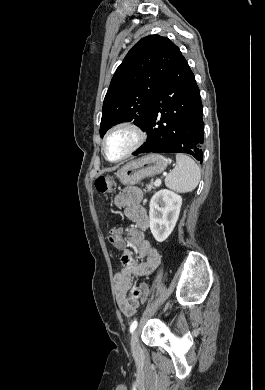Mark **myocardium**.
<instances>
[{
    "label": "myocardium",
    "mask_w": 265,
    "mask_h": 390,
    "mask_svg": "<svg viewBox=\"0 0 265 390\" xmlns=\"http://www.w3.org/2000/svg\"><path fill=\"white\" fill-rule=\"evenodd\" d=\"M126 130L129 131L133 135V142L130 147L126 150V152L118 159L111 160L107 156L106 152V144L108 139L112 134L117 131ZM146 133L144 130L135 122L132 121H121L115 125H113L105 134L102 140V154L104 158L110 163H119L127 158H129L132 154H134L145 142Z\"/></svg>",
    "instance_id": "myocardium-1"
}]
</instances>
